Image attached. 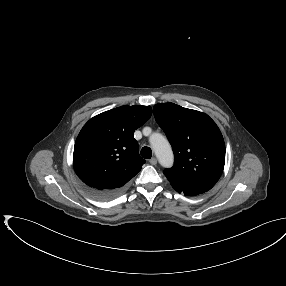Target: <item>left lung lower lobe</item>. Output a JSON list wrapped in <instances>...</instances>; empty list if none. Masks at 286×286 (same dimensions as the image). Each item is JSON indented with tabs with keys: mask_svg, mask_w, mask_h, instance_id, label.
Wrapping results in <instances>:
<instances>
[{
	"mask_svg": "<svg viewBox=\"0 0 286 286\" xmlns=\"http://www.w3.org/2000/svg\"><path fill=\"white\" fill-rule=\"evenodd\" d=\"M176 190V189H175ZM177 192L181 193L183 191H179V190H176ZM186 196H194V195H198V193H194V192H183Z\"/></svg>",
	"mask_w": 286,
	"mask_h": 286,
	"instance_id": "0a47b994",
	"label": "left lung lower lobe"
}]
</instances>
